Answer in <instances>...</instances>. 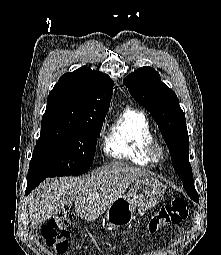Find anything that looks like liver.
<instances>
[{
  "label": "liver",
  "instance_id": "liver-1",
  "mask_svg": "<svg viewBox=\"0 0 221 255\" xmlns=\"http://www.w3.org/2000/svg\"><path fill=\"white\" fill-rule=\"evenodd\" d=\"M148 175L142 168L113 162L82 177L47 179L28 196L31 228L42 226L73 201L78 216L95 221L132 182Z\"/></svg>",
  "mask_w": 221,
  "mask_h": 255
}]
</instances>
